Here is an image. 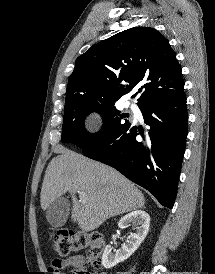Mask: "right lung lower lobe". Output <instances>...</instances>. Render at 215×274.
I'll return each instance as SVG.
<instances>
[{
  "instance_id": "1",
  "label": "right lung lower lobe",
  "mask_w": 215,
  "mask_h": 274,
  "mask_svg": "<svg viewBox=\"0 0 215 274\" xmlns=\"http://www.w3.org/2000/svg\"><path fill=\"white\" fill-rule=\"evenodd\" d=\"M139 108L150 127L147 134L131 123L83 152L117 169L151 192L161 205L172 208L188 132L186 96L183 92L172 98L152 99Z\"/></svg>"
}]
</instances>
